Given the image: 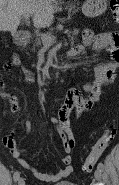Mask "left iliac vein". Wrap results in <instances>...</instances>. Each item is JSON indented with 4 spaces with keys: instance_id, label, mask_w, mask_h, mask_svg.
Wrapping results in <instances>:
<instances>
[{
    "instance_id": "left-iliac-vein-1",
    "label": "left iliac vein",
    "mask_w": 119,
    "mask_h": 185,
    "mask_svg": "<svg viewBox=\"0 0 119 185\" xmlns=\"http://www.w3.org/2000/svg\"><path fill=\"white\" fill-rule=\"evenodd\" d=\"M94 176H95V179L97 181H100L101 178H102V170L99 169V168H97L96 171H95V173H94Z\"/></svg>"
}]
</instances>
